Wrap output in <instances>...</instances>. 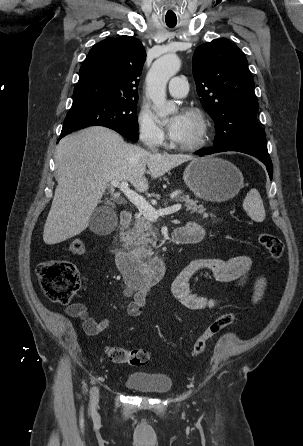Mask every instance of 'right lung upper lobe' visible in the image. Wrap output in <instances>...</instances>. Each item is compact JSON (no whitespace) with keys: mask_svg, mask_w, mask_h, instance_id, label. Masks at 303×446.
<instances>
[{"mask_svg":"<svg viewBox=\"0 0 303 446\" xmlns=\"http://www.w3.org/2000/svg\"><path fill=\"white\" fill-rule=\"evenodd\" d=\"M146 58L142 43L130 36L107 38L88 53L73 92L72 108L108 102L137 101Z\"/></svg>","mask_w":303,"mask_h":446,"instance_id":"cb5924a9","label":"right lung upper lobe"}]
</instances>
